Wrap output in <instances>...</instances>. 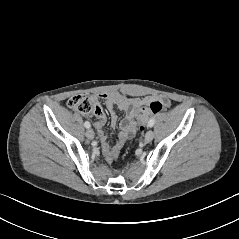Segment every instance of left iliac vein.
<instances>
[{
  "label": "left iliac vein",
  "mask_w": 239,
  "mask_h": 239,
  "mask_svg": "<svg viewBox=\"0 0 239 239\" xmlns=\"http://www.w3.org/2000/svg\"><path fill=\"white\" fill-rule=\"evenodd\" d=\"M154 138V132L150 129L146 132L144 141L145 143H150Z\"/></svg>",
  "instance_id": "1"
}]
</instances>
